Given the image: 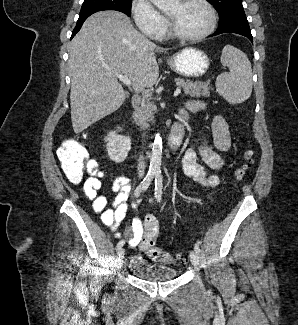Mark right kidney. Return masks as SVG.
<instances>
[{
	"instance_id": "1",
	"label": "right kidney",
	"mask_w": 298,
	"mask_h": 325,
	"mask_svg": "<svg viewBox=\"0 0 298 325\" xmlns=\"http://www.w3.org/2000/svg\"><path fill=\"white\" fill-rule=\"evenodd\" d=\"M117 128L118 130H111L105 136V146L109 158L114 160V163H123L131 148V138L129 136H123V134H118L120 130H123L122 126H117Z\"/></svg>"
}]
</instances>
